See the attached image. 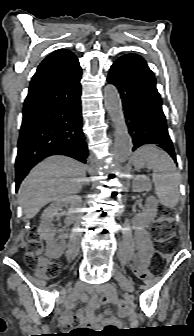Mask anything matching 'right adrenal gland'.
<instances>
[{
	"instance_id": "1",
	"label": "right adrenal gland",
	"mask_w": 194,
	"mask_h": 336,
	"mask_svg": "<svg viewBox=\"0 0 194 336\" xmlns=\"http://www.w3.org/2000/svg\"><path fill=\"white\" fill-rule=\"evenodd\" d=\"M86 185H89V180L87 179L86 182H85Z\"/></svg>"
}]
</instances>
